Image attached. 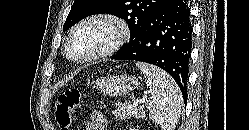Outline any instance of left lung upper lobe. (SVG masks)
Returning a JSON list of instances; mask_svg holds the SVG:
<instances>
[{"label":"left lung upper lobe","instance_id":"5c2ea615","mask_svg":"<svg viewBox=\"0 0 249 130\" xmlns=\"http://www.w3.org/2000/svg\"><path fill=\"white\" fill-rule=\"evenodd\" d=\"M167 2L168 0H75L64 23L63 31L87 16L112 14L127 22L130 29L129 43H131L144 23Z\"/></svg>","mask_w":249,"mask_h":130}]
</instances>
